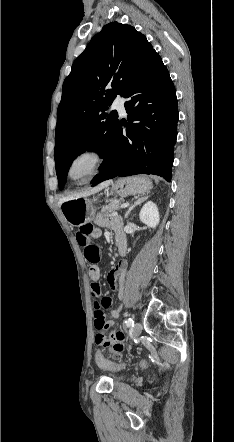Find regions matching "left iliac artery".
<instances>
[{
  "instance_id": "44dca946",
  "label": "left iliac artery",
  "mask_w": 234,
  "mask_h": 442,
  "mask_svg": "<svg viewBox=\"0 0 234 442\" xmlns=\"http://www.w3.org/2000/svg\"><path fill=\"white\" fill-rule=\"evenodd\" d=\"M125 325H126V327L134 326V321H133V319H132V318H128V319L125 321Z\"/></svg>"
}]
</instances>
